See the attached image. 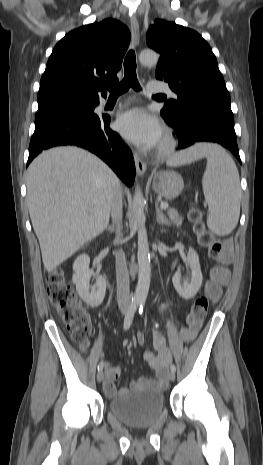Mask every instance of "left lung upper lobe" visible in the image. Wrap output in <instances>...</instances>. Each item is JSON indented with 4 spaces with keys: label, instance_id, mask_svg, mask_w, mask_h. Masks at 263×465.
Returning a JSON list of instances; mask_svg holds the SVG:
<instances>
[{
    "label": "left lung upper lobe",
    "instance_id": "obj_1",
    "mask_svg": "<svg viewBox=\"0 0 263 465\" xmlns=\"http://www.w3.org/2000/svg\"><path fill=\"white\" fill-rule=\"evenodd\" d=\"M147 44L160 53L156 78L167 81L178 96L165 103L163 114L173 117L202 104L230 108V95L217 60L200 34L174 22L156 20L150 26Z\"/></svg>",
    "mask_w": 263,
    "mask_h": 465
}]
</instances>
